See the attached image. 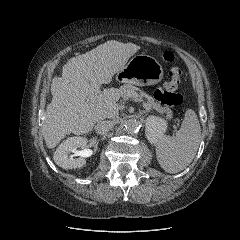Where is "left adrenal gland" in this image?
Here are the masks:
<instances>
[{
	"mask_svg": "<svg viewBox=\"0 0 240 240\" xmlns=\"http://www.w3.org/2000/svg\"><path fill=\"white\" fill-rule=\"evenodd\" d=\"M148 111H142L140 112V115L143 117V114H146Z\"/></svg>",
	"mask_w": 240,
	"mask_h": 240,
	"instance_id": "1",
	"label": "left adrenal gland"
}]
</instances>
